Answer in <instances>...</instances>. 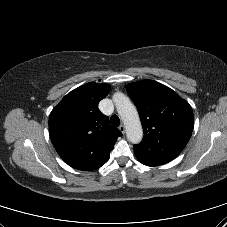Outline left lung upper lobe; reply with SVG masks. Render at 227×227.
<instances>
[{
  "instance_id": "5c2ea615",
  "label": "left lung upper lobe",
  "mask_w": 227,
  "mask_h": 227,
  "mask_svg": "<svg viewBox=\"0 0 227 227\" xmlns=\"http://www.w3.org/2000/svg\"><path fill=\"white\" fill-rule=\"evenodd\" d=\"M126 89L144 132L143 140L134 148L148 156L175 159L193 131L191 106L172 89L153 80L131 83Z\"/></svg>"
}]
</instances>
